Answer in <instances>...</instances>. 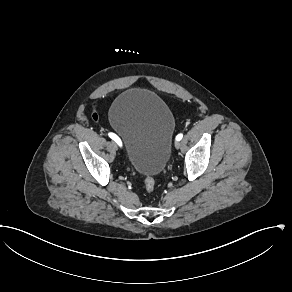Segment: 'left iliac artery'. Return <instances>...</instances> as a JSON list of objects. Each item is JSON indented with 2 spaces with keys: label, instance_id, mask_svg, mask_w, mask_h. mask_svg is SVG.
<instances>
[{
  "label": "left iliac artery",
  "instance_id": "obj_1",
  "mask_svg": "<svg viewBox=\"0 0 292 292\" xmlns=\"http://www.w3.org/2000/svg\"><path fill=\"white\" fill-rule=\"evenodd\" d=\"M182 137H183V134L182 133L178 134L176 136V141H180L182 139Z\"/></svg>",
  "mask_w": 292,
  "mask_h": 292
}]
</instances>
